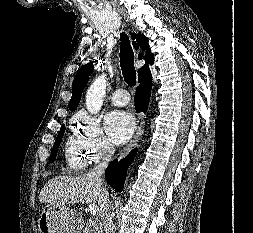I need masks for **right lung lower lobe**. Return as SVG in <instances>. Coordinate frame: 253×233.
Returning a JSON list of instances; mask_svg holds the SVG:
<instances>
[{
    "mask_svg": "<svg viewBox=\"0 0 253 233\" xmlns=\"http://www.w3.org/2000/svg\"><path fill=\"white\" fill-rule=\"evenodd\" d=\"M140 85L136 89L135 109L137 113L145 112L149 104V98L152 87V76L150 71H146L138 78ZM137 149H134L130 154L120 162L112 161L105 171V179L110 186L121 192L125 183L128 166L136 155Z\"/></svg>",
    "mask_w": 253,
    "mask_h": 233,
    "instance_id": "right-lung-lower-lobe-1",
    "label": "right lung lower lobe"
}]
</instances>
